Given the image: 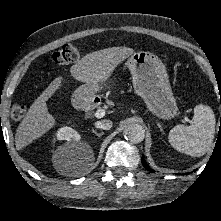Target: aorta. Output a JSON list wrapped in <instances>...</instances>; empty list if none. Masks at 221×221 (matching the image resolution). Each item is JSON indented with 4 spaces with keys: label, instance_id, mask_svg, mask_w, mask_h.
Masks as SVG:
<instances>
[{
    "label": "aorta",
    "instance_id": "aorta-1",
    "mask_svg": "<svg viewBox=\"0 0 221 221\" xmlns=\"http://www.w3.org/2000/svg\"><path fill=\"white\" fill-rule=\"evenodd\" d=\"M123 134L126 140L132 143H140L145 137V130L140 124L129 123L124 127Z\"/></svg>",
    "mask_w": 221,
    "mask_h": 221
}]
</instances>
